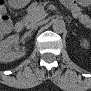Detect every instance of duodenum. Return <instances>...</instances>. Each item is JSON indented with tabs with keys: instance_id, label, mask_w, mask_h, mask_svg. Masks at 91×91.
Returning <instances> with one entry per match:
<instances>
[{
	"instance_id": "410a0bca",
	"label": "duodenum",
	"mask_w": 91,
	"mask_h": 91,
	"mask_svg": "<svg viewBox=\"0 0 91 91\" xmlns=\"http://www.w3.org/2000/svg\"><path fill=\"white\" fill-rule=\"evenodd\" d=\"M24 27H25V22L22 19H20L16 21L14 25V30L16 32H21L24 29Z\"/></svg>"
}]
</instances>
